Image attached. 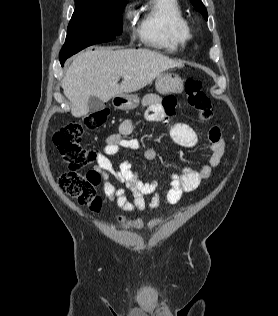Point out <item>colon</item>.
<instances>
[{
    "instance_id": "obj_1",
    "label": "colon",
    "mask_w": 278,
    "mask_h": 316,
    "mask_svg": "<svg viewBox=\"0 0 278 316\" xmlns=\"http://www.w3.org/2000/svg\"><path fill=\"white\" fill-rule=\"evenodd\" d=\"M185 92L189 105L198 111L200 120H208L212 115V105L203 91L202 82L194 78L186 80ZM106 119L105 111L92 113L81 121L62 126L53 134V142L69 168V172L59 179L62 191L80 203L88 205L95 212H98L102 205V200L96 190L100 176L94 171L86 174L79 171L95 161L96 152L84 147L81 140L86 130L101 127Z\"/></svg>"
}]
</instances>
